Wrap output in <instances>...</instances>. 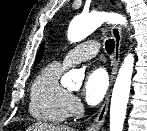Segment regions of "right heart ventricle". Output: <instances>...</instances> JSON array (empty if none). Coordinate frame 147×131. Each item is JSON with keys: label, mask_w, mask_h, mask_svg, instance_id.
<instances>
[{"label": "right heart ventricle", "mask_w": 147, "mask_h": 131, "mask_svg": "<svg viewBox=\"0 0 147 131\" xmlns=\"http://www.w3.org/2000/svg\"><path fill=\"white\" fill-rule=\"evenodd\" d=\"M65 67L53 62L46 65L33 81L29 112L38 121L62 123L68 115L69 92L60 84Z\"/></svg>", "instance_id": "obj_1"}]
</instances>
